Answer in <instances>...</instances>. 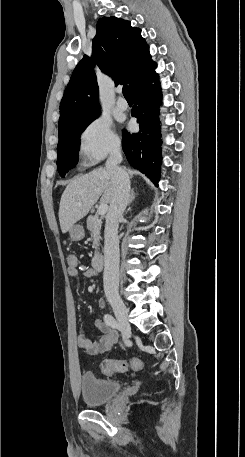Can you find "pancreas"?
Segmentation results:
<instances>
[{
	"instance_id": "cf45deb5",
	"label": "pancreas",
	"mask_w": 245,
	"mask_h": 457,
	"mask_svg": "<svg viewBox=\"0 0 245 457\" xmlns=\"http://www.w3.org/2000/svg\"><path fill=\"white\" fill-rule=\"evenodd\" d=\"M102 220L99 218L98 214H91L87 218V229L91 233V239L93 241L92 249H95V253L99 251V239L101 231Z\"/></svg>"
}]
</instances>
